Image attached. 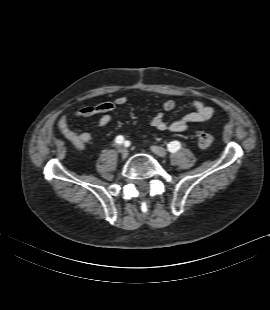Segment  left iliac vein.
Segmentation results:
<instances>
[{
	"label": "left iliac vein",
	"instance_id": "4c4485c4",
	"mask_svg": "<svg viewBox=\"0 0 270 310\" xmlns=\"http://www.w3.org/2000/svg\"><path fill=\"white\" fill-rule=\"evenodd\" d=\"M151 150L158 156L164 158L167 155L166 150L163 147L160 146H152Z\"/></svg>",
	"mask_w": 270,
	"mask_h": 310
}]
</instances>
